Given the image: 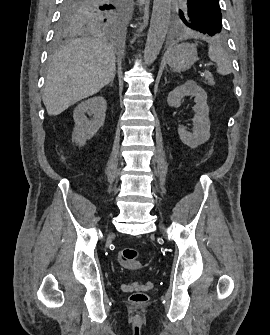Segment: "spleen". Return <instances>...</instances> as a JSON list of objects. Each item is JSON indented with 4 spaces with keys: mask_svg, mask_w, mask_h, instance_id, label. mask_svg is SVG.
I'll use <instances>...</instances> for the list:
<instances>
[{
    "mask_svg": "<svg viewBox=\"0 0 270 335\" xmlns=\"http://www.w3.org/2000/svg\"><path fill=\"white\" fill-rule=\"evenodd\" d=\"M208 44V56L211 62H216L218 74H221V76H227V74L232 72V64L224 44L220 42L218 36H215V38H209Z\"/></svg>",
    "mask_w": 270,
    "mask_h": 335,
    "instance_id": "spleen-1",
    "label": "spleen"
}]
</instances>
